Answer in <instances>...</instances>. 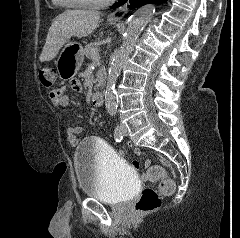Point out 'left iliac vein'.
Listing matches in <instances>:
<instances>
[{"mask_svg":"<svg viewBox=\"0 0 240 238\" xmlns=\"http://www.w3.org/2000/svg\"><path fill=\"white\" fill-rule=\"evenodd\" d=\"M121 130L123 132V135H127L128 134V129H127L125 124H121Z\"/></svg>","mask_w":240,"mask_h":238,"instance_id":"left-iliac-vein-1","label":"left iliac vein"}]
</instances>
